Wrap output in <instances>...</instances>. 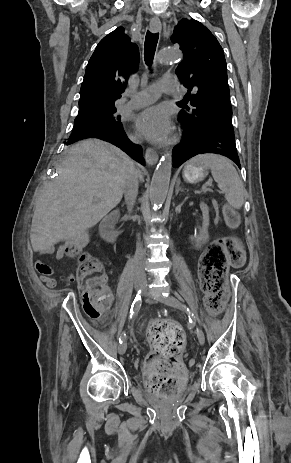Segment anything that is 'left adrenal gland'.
Instances as JSON below:
<instances>
[{
  "instance_id": "left-adrenal-gland-1",
  "label": "left adrenal gland",
  "mask_w": 291,
  "mask_h": 463,
  "mask_svg": "<svg viewBox=\"0 0 291 463\" xmlns=\"http://www.w3.org/2000/svg\"><path fill=\"white\" fill-rule=\"evenodd\" d=\"M182 188L180 187V181L177 182V185H176V190H175V195L177 196L179 191H181Z\"/></svg>"
}]
</instances>
